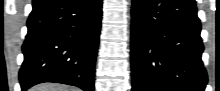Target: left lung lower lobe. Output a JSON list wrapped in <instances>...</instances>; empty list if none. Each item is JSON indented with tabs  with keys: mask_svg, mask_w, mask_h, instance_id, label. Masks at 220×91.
I'll list each match as a JSON object with an SVG mask.
<instances>
[{
	"mask_svg": "<svg viewBox=\"0 0 220 91\" xmlns=\"http://www.w3.org/2000/svg\"><path fill=\"white\" fill-rule=\"evenodd\" d=\"M194 0H132V91H204Z\"/></svg>",
	"mask_w": 220,
	"mask_h": 91,
	"instance_id": "1",
	"label": "left lung lower lobe"
}]
</instances>
